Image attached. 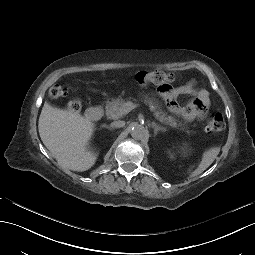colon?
<instances>
[{
  "instance_id": "5ec220e1",
  "label": "colon",
  "mask_w": 255,
  "mask_h": 255,
  "mask_svg": "<svg viewBox=\"0 0 255 255\" xmlns=\"http://www.w3.org/2000/svg\"><path fill=\"white\" fill-rule=\"evenodd\" d=\"M175 75L173 73L153 70L146 71L142 70L137 72L135 75L136 81L140 85L154 84L158 86L161 90H168L170 84L175 81ZM66 90L60 85H53L49 90V95L54 98H61L65 96ZM68 109L72 112H78L81 109V102L76 99H72L67 104ZM225 128V120L221 113H216L212 115L207 123L206 130L208 132H219Z\"/></svg>"
}]
</instances>
